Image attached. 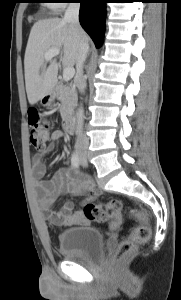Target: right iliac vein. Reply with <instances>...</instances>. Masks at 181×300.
Returning <instances> with one entry per match:
<instances>
[{"label": "right iliac vein", "mask_w": 181, "mask_h": 300, "mask_svg": "<svg viewBox=\"0 0 181 300\" xmlns=\"http://www.w3.org/2000/svg\"><path fill=\"white\" fill-rule=\"evenodd\" d=\"M80 157H81V158H85V157H86V154L82 153V154H80Z\"/></svg>", "instance_id": "63e3f726"}]
</instances>
